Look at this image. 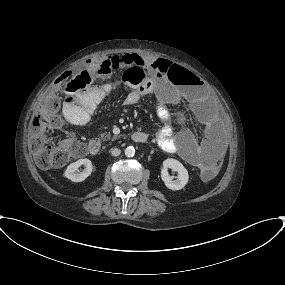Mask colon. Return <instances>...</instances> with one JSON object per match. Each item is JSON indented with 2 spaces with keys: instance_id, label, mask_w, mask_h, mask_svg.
I'll list each match as a JSON object with an SVG mask.
<instances>
[{
  "instance_id": "colon-1",
  "label": "colon",
  "mask_w": 285,
  "mask_h": 285,
  "mask_svg": "<svg viewBox=\"0 0 285 285\" xmlns=\"http://www.w3.org/2000/svg\"><path fill=\"white\" fill-rule=\"evenodd\" d=\"M122 66L124 72L121 82L129 87L144 90L148 85L147 64L138 61L135 64L125 63L119 56H109L106 59L91 60L76 72H65L55 82L54 89L48 92L40 102L39 111L33 119L29 132V145L35 163L41 168L61 167L71 160L86 154V146L75 138L56 140L50 134L56 132L62 125L58 115L61 107L60 96L67 92L78 91L95 79H102L115 74ZM160 72L167 75L179 86H185L191 78L186 69L173 65L170 61L158 59L153 64ZM91 113V110H88ZM221 167V160H216L211 166L201 171L204 180L213 178Z\"/></svg>"
}]
</instances>
